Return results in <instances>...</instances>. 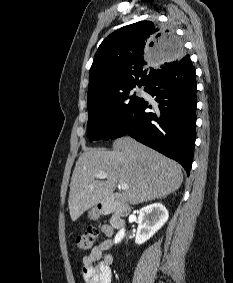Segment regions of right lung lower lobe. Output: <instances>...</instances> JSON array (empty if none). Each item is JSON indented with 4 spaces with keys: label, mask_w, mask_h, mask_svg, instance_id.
<instances>
[{
    "label": "right lung lower lobe",
    "mask_w": 233,
    "mask_h": 283,
    "mask_svg": "<svg viewBox=\"0 0 233 283\" xmlns=\"http://www.w3.org/2000/svg\"><path fill=\"white\" fill-rule=\"evenodd\" d=\"M155 97L152 107L140 99L114 131L112 139L129 134L137 141L179 162L190 173L196 125V79L190 56L182 57L144 88ZM146 108H153L146 113Z\"/></svg>",
    "instance_id": "1"
}]
</instances>
